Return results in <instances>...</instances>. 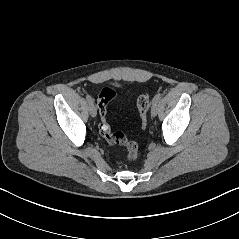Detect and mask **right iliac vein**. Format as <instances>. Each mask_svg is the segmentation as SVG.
I'll return each instance as SVG.
<instances>
[{"label":"right iliac vein","instance_id":"right-iliac-vein-1","mask_svg":"<svg viewBox=\"0 0 239 239\" xmlns=\"http://www.w3.org/2000/svg\"><path fill=\"white\" fill-rule=\"evenodd\" d=\"M89 112H90L92 117H96L97 110H96V107H95V105L93 103L89 104Z\"/></svg>","mask_w":239,"mask_h":239}]
</instances>
